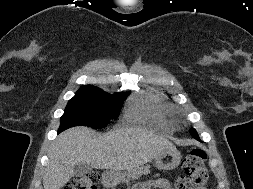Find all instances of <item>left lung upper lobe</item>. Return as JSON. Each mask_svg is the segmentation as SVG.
Listing matches in <instances>:
<instances>
[{
  "instance_id": "5c2ea615",
  "label": "left lung upper lobe",
  "mask_w": 253,
  "mask_h": 189,
  "mask_svg": "<svg viewBox=\"0 0 253 189\" xmlns=\"http://www.w3.org/2000/svg\"><path fill=\"white\" fill-rule=\"evenodd\" d=\"M190 133H191V135H193V134H197V132H196V130H195V129H192Z\"/></svg>"
}]
</instances>
